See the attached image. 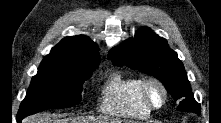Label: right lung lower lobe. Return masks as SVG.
Segmentation results:
<instances>
[{"mask_svg": "<svg viewBox=\"0 0 221 123\" xmlns=\"http://www.w3.org/2000/svg\"><path fill=\"white\" fill-rule=\"evenodd\" d=\"M24 117H26V115H21L20 113H18V115H17V120L20 121V120H22Z\"/></svg>", "mask_w": 221, "mask_h": 123, "instance_id": "obj_1", "label": "right lung lower lobe"}]
</instances>
